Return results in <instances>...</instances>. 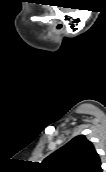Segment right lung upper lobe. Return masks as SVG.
<instances>
[{
    "label": "right lung upper lobe",
    "instance_id": "obj_1",
    "mask_svg": "<svg viewBox=\"0 0 106 172\" xmlns=\"http://www.w3.org/2000/svg\"><path fill=\"white\" fill-rule=\"evenodd\" d=\"M45 172H103L93 144L84 135L73 138L41 164Z\"/></svg>",
    "mask_w": 106,
    "mask_h": 172
}]
</instances>
